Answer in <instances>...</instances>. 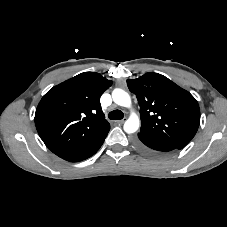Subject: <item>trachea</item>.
<instances>
[{
    "mask_svg": "<svg viewBox=\"0 0 227 227\" xmlns=\"http://www.w3.org/2000/svg\"><path fill=\"white\" fill-rule=\"evenodd\" d=\"M108 117L111 120H121L124 117V114L120 110H114L108 114Z\"/></svg>",
    "mask_w": 227,
    "mask_h": 227,
    "instance_id": "trachea-1",
    "label": "trachea"
}]
</instances>
